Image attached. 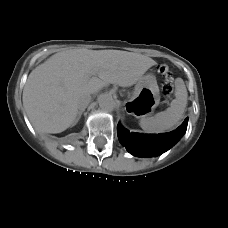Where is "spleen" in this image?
I'll return each instance as SVG.
<instances>
[{"label": "spleen", "mask_w": 228, "mask_h": 228, "mask_svg": "<svg viewBox=\"0 0 228 228\" xmlns=\"http://www.w3.org/2000/svg\"><path fill=\"white\" fill-rule=\"evenodd\" d=\"M176 98L172 100L170 106L163 112L154 116L142 117L140 126L149 133H160L174 127L182 118L186 105L188 92L185 84L179 83L176 86Z\"/></svg>", "instance_id": "1"}]
</instances>
